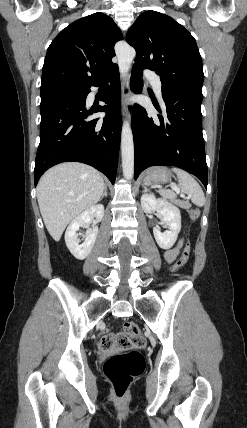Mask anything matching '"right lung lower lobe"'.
Returning a JSON list of instances; mask_svg holds the SVG:
<instances>
[{
  "mask_svg": "<svg viewBox=\"0 0 247 428\" xmlns=\"http://www.w3.org/2000/svg\"><path fill=\"white\" fill-rule=\"evenodd\" d=\"M110 82L101 101L107 105L86 109L91 86ZM120 81L118 66L86 88L81 95L42 99L40 103V144L37 150L34 180L50 167L65 161L91 165L115 182L121 135ZM106 111L103 120H87L93 112Z\"/></svg>",
  "mask_w": 247,
  "mask_h": 428,
  "instance_id": "1",
  "label": "right lung lower lobe"
}]
</instances>
